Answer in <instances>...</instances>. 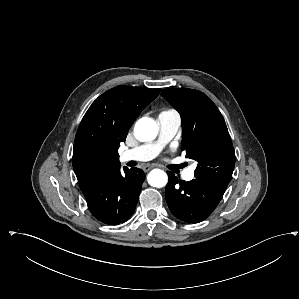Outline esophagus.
<instances>
[{"instance_id": "esophagus-1", "label": "esophagus", "mask_w": 299, "mask_h": 299, "mask_svg": "<svg viewBox=\"0 0 299 299\" xmlns=\"http://www.w3.org/2000/svg\"><path fill=\"white\" fill-rule=\"evenodd\" d=\"M152 168H153V166H151V165H145V166L142 167V169H143L144 172H148V171H150Z\"/></svg>"}]
</instances>
